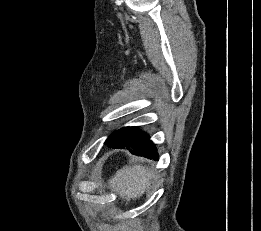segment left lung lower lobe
Returning <instances> with one entry per match:
<instances>
[{
    "mask_svg": "<svg viewBox=\"0 0 261 231\" xmlns=\"http://www.w3.org/2000/svg\"><path fill=\"white\" fill-rule=\"evenodd\" d=\"M112 148H124L130 150L132 154L138 156H144L149 159H155L158 155L155 144L147 136L145 139L138 140L133 138H127L108 144Z\"/></svg>",
    "mask_w": 261,
    "mask_h": 231,
    "instance_id": "obj_1",
    "label": "left lung lower lobe"
}]
</instances>
